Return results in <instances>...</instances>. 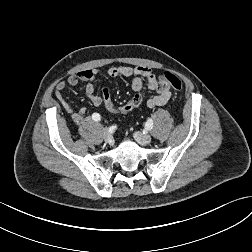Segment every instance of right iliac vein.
<instances>
[{"label": "right iliac vein", "mask_w": 252, "mask_h": 252, "mask_svg": "<svg viewBox=\"0 0 252 252\" xmlns=\"http://www.w3.org/2000/svg\"><path fill=\"white\" fill-rule=\"evenodd\" d=\"M103 137H104V140L109 143V144H112L113 143V136L110 132H108L107 130L104 131L103 133Z\"/></svg>", "instance_id": "63e3f726"}]
</instances>
